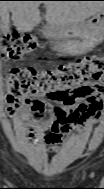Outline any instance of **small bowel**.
Segmentation results:
<instances>
[{
  "mask_svg": "<svg viewBox=\"0 0 104 189\" xmlns=\"http://www.w3.org/2000/svg\"><path fill=\"white\" fill-rule=\"evenodd\" d=\"M57 105L43 119L46 100L37 97L25 103L7 104V113L14 119H30L27 136L40 138L50 150L68 142L85 139L98 122L103 104L93 85L73 90L67 97L51 99Z\"/></svg>",
  "mask_w": 104,
  "mask_h": 189,
  "instance_id": "1",
  "label": "small bowel"
}]
</instances>
